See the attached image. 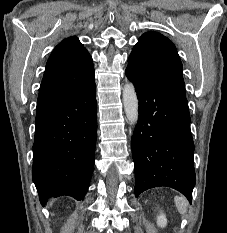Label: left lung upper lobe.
<instances>
[{
	"label": "left lung upper lobe",
	"instance_id": "left-lung-upper-lobe-1",
	"mask_svg": "<svg viewBox=\"0 0 227 233\" xmlns=\"http://www.w3.org/2000/svg\"><path fill=\"white\" fill-rule=\"evenodd\" d=\"M126 71L152 85L186 96L176 47L158 32H146L139 38L128 58Z\"/></svg>",
	"mask_w": 227,
	"mask_h": 233
}]
</instances>
